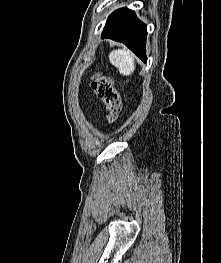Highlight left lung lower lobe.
I'll return each mask as SVG.
<instances>
[{
  "instance_id": "1",
  "label": "left lung lower lobe",
  "mask_w": 221,
  "mask_h": 263,
  "mask_svg": "<svg viewBox=\"0 0 221 263\" xmlns=\"http://www.w3.org/2000/svg\"><path fill=\"white\" fill-rule=\"evenodd\" d=\"M147 27L134 11L121 8L114 11L106 22L102 38H110L125 44L138 57L146 62L145 55Z\"/></svg>"
}]
</instances>
